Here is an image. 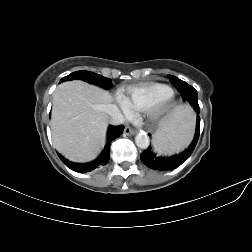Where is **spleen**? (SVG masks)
<instances>
[{
  "mask_svg": "<svg viewBox=\"0 0 252 252\" xmlns=\"http://www.w3.org/2000/svg\"><path fill=\"white\" fill-rule=\"evenodd\" d=\"M195 118L188 107H177L155 133L153 145L159 154H173L184 149L192 140Z\"/></svg>",
  "mask_w": 252,
  "mask_h": 252,
  "instance_id": "spleen-1",
  "label": "spleen"
}]
</instances>
